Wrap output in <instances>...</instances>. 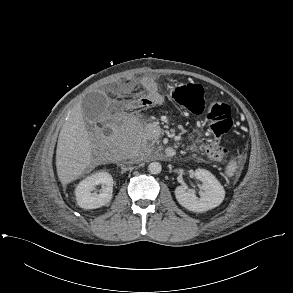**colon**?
<instances>
[{"mask_svg": "<svg viewBox=\"0 0 293 293\" xmlns=\"http://www.w3.org/2000/svg\"><path fill=\"white\" fill-rule=\"evenodd\" d=\"M172 100L192 114L200 115L206 110L203 87L199 84H183L175 87L171 92ZM153 98L150 95H141L123 104L124 109H140L150 106ZM207 121L213 138L204 144L206 154L213 160L227 162L232 153L229 149L219 146V139L227 133L233 119L231 108L223 102L214 101L207 109Z\"/></svg>", "mask_w": 293, "mask_h": 293, "instance_id": "5ec220e1", "label": "colon"}]
</instances>
